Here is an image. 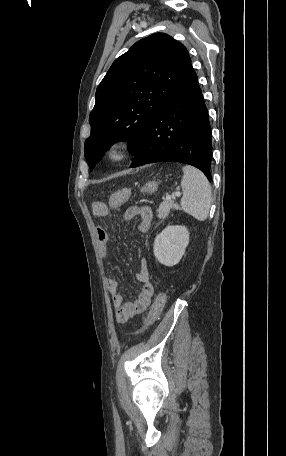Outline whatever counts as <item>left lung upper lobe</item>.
<instances>
[{
	"label": "left lung upper lobe",
	"instance_id": "obj_1",
	"mask_svg": "<svg viewBox=\"0 0 286 456\" xmlns=\"http://www.w3.org/2000/svg\"><path fill=\"white\" fill-rule=\"evenodd\" d=\"M191 67L186 47L164 33L136 42L117 58L97 87L85 142L90 170L120 140L132 154L153 117Z\"/></svg>",
	"mask_w": 286,
	"mask_h": 456
}]
</instances>
